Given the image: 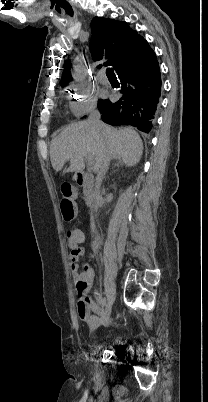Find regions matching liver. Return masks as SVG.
<instances>
[{
    "mask_svg": "<svg viewBox=\"0 0 208 402\" xmlns=\"http://www.w3.org/2000/svg\"><path fill=\"white\" fill-rule=\"evenodd\" d=\"M110 144L113 158H121L126 166H135L143 154L142 140L132 128L114 130L103 124V128H93L88 122L70 124L53 138L50 146V158L55 172L62 170L70 160L66 172H82L85 168L84 156H91L90 162L97 168V156Z\"/></svg>",
    "mask_w": 208,
    "mask_h": 402,
    "instance_id": "1",
    "label": "liver"
}]
</instances>
